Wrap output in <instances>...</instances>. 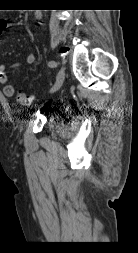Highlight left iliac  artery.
Listing matches in <instances>:
<instances>
[{
	"mask_svg": "<svg viewBox=\"0 0 138 253\" xmlns=\"http://www.w3.org/2000/svg\"><path fill=\"white\" fill-rule=\"evenodd\" d=\"M48 66L50 68H55V67H57V62H55L54 60H51V61H49Z\"/></svg>",
	"mask_w": 138,
	"mask_h": 253,
	"instance_id": "1",
	"label": "left iliac artery"
}]
</instances>
